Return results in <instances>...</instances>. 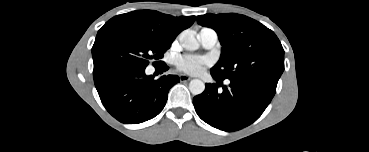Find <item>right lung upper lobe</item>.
<instances>
[{
  "label": "right lung upper lobe",
  "mask_w": 369,
  "mask_h": 152,
  "mask_svg": "<svg viewBox=\"0 0 369 152\" xmlns=\"http://www.w3.org/2000/svg\"><path fill=\"white\" fill-rule=\"evenodd\" d=\"M111 20L132 24L158 40L171 44L181 31L193 24L195 16L173 17L154 10H137L115 16Z\"/></svg>",
  "instance_id": "obj_1"
}]
</instances>
